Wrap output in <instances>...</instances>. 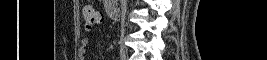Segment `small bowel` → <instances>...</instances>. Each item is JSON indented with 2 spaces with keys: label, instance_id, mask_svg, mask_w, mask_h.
<instances>
[{
  "label": "small bowel",
  "instance_id": "c3829d8e",
  "mask_svg": "<svg viewBox=\"0 0 267 60\" xmlns=\"http://www.w3.org/2000/svg\"><path fill=\"white\" fill-rule=\"evenodd\" d=\"M88 43H89L88 39H83V40H82V44H83L84 46L88 45Z\"/></svg>",
  "mask_w": 267,
  "mask_h": 60
}]
</instances>
